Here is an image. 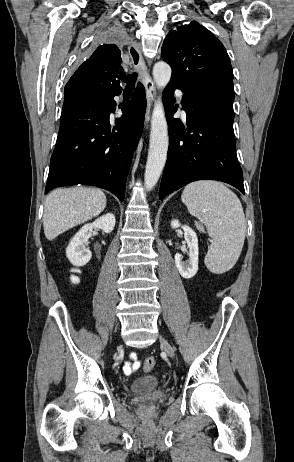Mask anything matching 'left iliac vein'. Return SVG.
<instances>
[{
  "mask_svg": "<svg viewBox=\"0 0 294 462\" xmlns=\"http://www.w3.org/2000/svg\"><path fill=\"white\" fill-rule=\"evenodd\" d=\"M159 340H160V343L163 346L164 350L167 352V354L170 357H174V355H175L174 350H173L172 346L168 343V341L165 338H163L162 336H159Z\"/></svg>",
  "mask_w": 294,
  "mask_h": 462,
  "instance_id": "left-iliac-vein-1",
  "label": "left iliac vein"
}]
</instances>
